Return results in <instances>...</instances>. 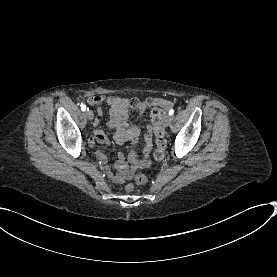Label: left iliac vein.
Listing matches in <instances>:
<instances>
[{
    "mask_svg": "<svg viewBox=\"0 0 277 277\" xmlns=\"http://www.w3.org/2000/svg\"><path fill=\"white\" fill-rule=\"evenodd\" d=\"M170 122H171V116L166 115L163 119V126L168 127L170 125Z\"/></svg>",
    "mask_w": 277,
    "mask_h": 277,
    "instance_id": "left-iliac-vein-1",
    "label": "left iliac vein"
}]
</instances>
